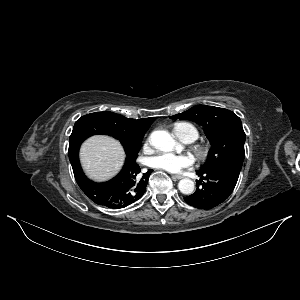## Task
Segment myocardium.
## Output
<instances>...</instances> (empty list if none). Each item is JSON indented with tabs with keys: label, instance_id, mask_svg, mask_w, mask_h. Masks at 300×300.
Segmentation results:
<instances>
[{
	"label": "myocardium",
	"instance_id": "myocardium-1",
	"mask_svg": "<svg viewBox=\"0 0 300 300\" xmlns=\"http://www.w3.org/2000/svg\"><path fill=\"white\" fill-rule=\"evenodd\" d=\"M195 153L200 160H205L210 153V146L207 144H200L195 147Z\"/></svg>",
	"mask_w": 300,
	"mask_h": 300
}]
</instances>
